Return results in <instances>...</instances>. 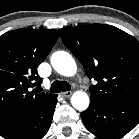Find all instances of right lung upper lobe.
I'll use <instances>...</instances> for the list:
<instances>
[{
  "label": "right lung upper lobe",
  "instance_id": "right-lung-upper-lobe-1",
  "mask_svg": "<svg viewBox=\"0 0 139 139\" xmlns=\"http://www.w3.org/2000/svg\"><path fill=\"white\" fill-rule=\"evenodd\" d=\"M59 38L54 29H17L0 36V127L25 116L55 94L32 90L42 80L37 73Z\"/></svg>",
  "mask_w": 139,
  "mask_h": 139
}]
</instances>
